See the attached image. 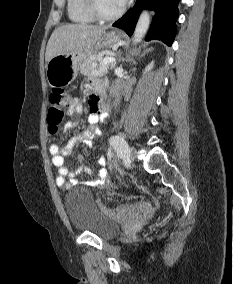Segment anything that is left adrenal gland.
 I'll return each mask as SVG.
<instances>
[{"label": "left adrenal gland", "mask_w": 233, "mask_h": 284, "mask_svg": "<svg viewBox=\"0 0 233 284\" xmlns=\"http://www.w3.org/2000/svg\"><path fill=\"white\" fill-rule=\"evenodd\" d=\"M151 50H152V48L148 49L147 52H148V51H151Z\"/></svg>", "instance_id": "1"}]
</instances>
